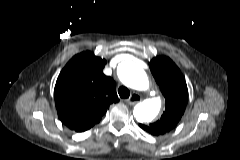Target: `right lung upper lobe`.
Returning <instances> with one entry per match:
<instances>
[{
    "mask_svg": "<svg viewBox=\"0 0 240 160\" xmlns=\"http://www.w3.org/2000/svg\"><path fill=\"white\" fill-rule=\"evenodd\" d=\"M105 59L86 51L75 55L60 72L54 90L59 119L70 129L83 132L118 102L116 84L105 76Z\"/></svg>",
    "mask_w": 240,
    "mask_h": 160,
    "instance_id": "cb5924a9",
    "label": "right lung upper lobe"
}]
</instances>
